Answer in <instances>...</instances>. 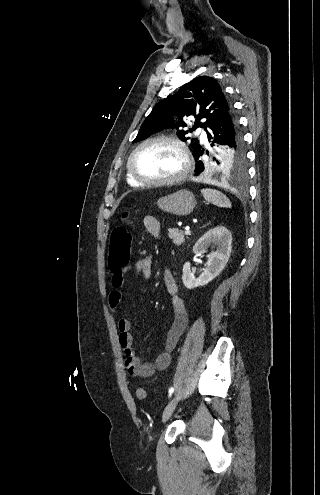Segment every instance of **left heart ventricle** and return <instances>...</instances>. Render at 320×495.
<instances>
[{"label": "left heart ventricle", "mask_w": 320, "mask_h": 495, "mask_svg": "<svg viewBox=\"0 0 320 495\" xmlns=\"http://www.w3.org/2000/svg\"><path fill=\"white\" fill-rule=\"evenodd\" d=\"M136 172L146 179H163L176 175L182 168L179 151L170 143L146 145L135 156Z\"/></svg>", "instance_id": "obj_1"}]
</instances>
